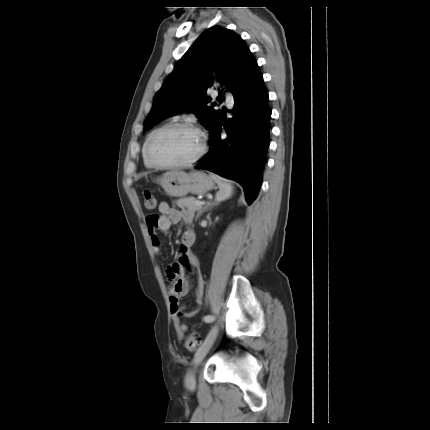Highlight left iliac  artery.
<instances>
[{"instance_id": "1", "label": "left iliac artery", "mask_w": 430, "mask_h": 430, "mask_svg": "<svg viewBox=\"0 0 430 430\" xmlns=\"http://www.w3.org/2000/svg\"><path fill=\"white\" fill-rule=\"evenodd\" d=\"M203 319H204V321H206V322H213V321L215 320V317H214V316H212V315H207V316H205Z\"/></svg>"}]
</instances>
